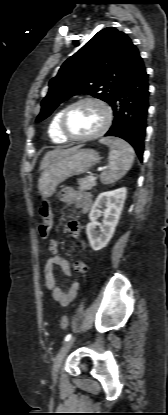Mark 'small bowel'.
<instances>
[{
    "mask_svg": "<svg viewBox=\"0 0 168 415\" xmlns=\"http://www.w3.org/2000/svg\"><path fill=\"white\" fill-rule=\"evenodd\" d=\"M59 198L70 208L79 209L83 213H87L91 207L90 195L87 192L78 191L71 187L63 188L59 192ZM66 229L73 236V238L79 239L81 247L85 248L83 240L80 239L79 223L74 220H70L66 224ZM49 252L51 253V256L46 261L44 266L45 284L47 289L52 293L54 300L62 306H67L76 298L80 285L78 282H74L67 291L62 290L58 286L54 274V268H60L66 276L70 277L71 267L69 262L59 254V244L55 239H52L49 242ZM74 268L79 273H85L87 271V264L85 262L78 261L75 263Z\"/></svg>",
    "mask_w": 168,
    "mask_h": 415,
    "instance_id": "1",
    "label": "small bowel"
}]
</instances>
